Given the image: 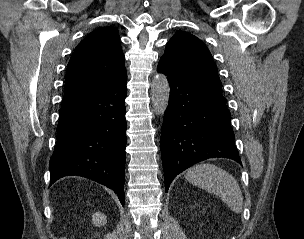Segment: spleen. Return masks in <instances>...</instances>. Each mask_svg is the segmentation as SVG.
I'll list each match as a JSON object with an SVG mask.
<instances>
[{
	"label": "spleen",
	"mask_w": 304,
	"mask_h": 239,
	"mask_svg": "<svg viewBox=\"0 0 304 239\" xmlns=\"http://www.w3.org/2000/svg\"><path fill=\"white\" fill-rule=\"evenodd\" d=\"M186 180L218 196L234 213L240 214L243 206L241 189L235 178L213 164H198L185 174Z\"/></svg>",
	"instance_id": "spleen-1"
}]
</instances>
